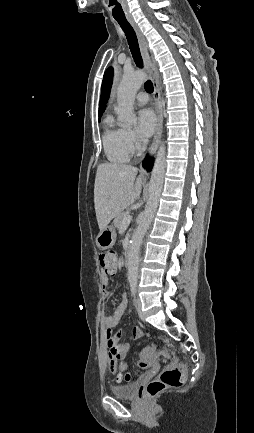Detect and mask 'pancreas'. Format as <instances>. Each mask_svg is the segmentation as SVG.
Wrapping results in <instances>:
<instances>
[{
  "label": "pancreas",
  "instance_id": "obj_1",
  "mask_svg": "<svg viewBox=\"0 0 254 433\" xmlns=\"http://www.w3.org/2000/svg\"><path fill=\"white\" fill-rule=\"evenodd\" d=\"M127 215H129V211L128 210H126V211H122V212H120L117 216H116V218H115V220H114V225H115V227L116 228H122L123 227V222H122V220H123V218L125 217V216H127Z\"/></svg>",
  "mask_w": 254,
  "mask_h": 433
}]
</instances>
